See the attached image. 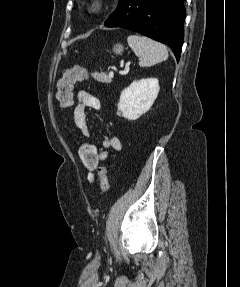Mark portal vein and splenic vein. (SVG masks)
<instances>
[{
    "label": "portal vein and splenic vein",
    "instance_id": "obj_1",
    "mask_svg": "<svg viewBox=\"0 0 240 287\" xmlns=\"http://www.w3.org/2000/svg\"><path fill=\"white\" fill-rule=\"evenodd\" d=\"M129 68H130V67H129V64H127L126 67H125V70L128 71ZM113 76H114V72H113V71H110V72H109V78H112Z\"/></svg>",
    "mask_w": 240,
    "mask_h": 287
}]
</instances>
